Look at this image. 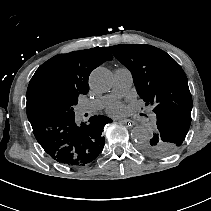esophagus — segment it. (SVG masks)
Listing matches in <instances>:
<instances>
[{"label":"esophagus","instance_id":"1","mask_svg":"<svg viewBox=\"0 0 211 211\" xmlns=\"http://www.w3.org/2000/svg\"><path fill=\"white\" fill-rule=\"evenodd\" d=\"M119 123L126 124L129 130H132L134 128V122L130 119H120Z\"/></svg>","mask_w":211,"mask_h":211}]
</instances>
